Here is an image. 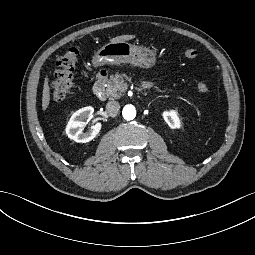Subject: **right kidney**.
<instances>
[{"label": "right kidney", "mask_w": 255, "mask_h": 255, "mask_svg": "<svg viewBox=\"0 0 255 255\" xmlns=\"http://www.w3.org/2000/svg\"><path fill=\"white\" fill-rule=\"evenodd\" d=\"M93 112L94 108L88 106L73 113L66 126V134L70 139L76 142L86 143L95 138L101 129V123H96L91 126L87 132L83 133V128L86 126V123L83 122V120L90 118Z\"/></svg>", "instance_id": "1"}]
</instances>
